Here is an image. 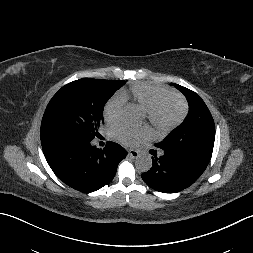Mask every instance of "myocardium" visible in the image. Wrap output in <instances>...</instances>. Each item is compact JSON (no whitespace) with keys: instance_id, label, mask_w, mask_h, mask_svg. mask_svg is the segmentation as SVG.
<instances>
[{"instance_id":"obj_1","label":"myocardium","mask_w":253,"mask_h":253,"mask_svg":"<svg viewBox=\"0 0 253 253\" xmlns=\"http://www.w3.org/2000/svg\"><path fill=\"white\" fill-rule=\"evenodd\" d=\"M167 101H173L178 107L177 115L168 122H163L159 118V113ZM188 112V106L186 101L178 94L167 93L159 97L152 106L146 111L147 118L150 124L154 127L156 132L160 135L170 133L176 127H178L185 119Z\"/></svg>"}]
</instances>
